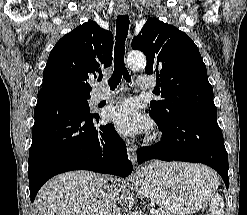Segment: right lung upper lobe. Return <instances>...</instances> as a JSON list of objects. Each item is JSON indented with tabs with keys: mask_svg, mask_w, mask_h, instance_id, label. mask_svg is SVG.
Listing matches in <instances>:
<instances>
[{
	"mask_svg": "<svg viewBox=\"0 0 247 215\" xmlns=\"http://www.w3.org/2000/svg\"><path fill=\"white\" fill-rule=\"evenodd\" d=\"M113 35L89 21L63 36L51 50L42 89L63 88L90 95L89 78L112 63Z\"/></svg>",
	"mask_w": 247,
	"mask_h": 215,
	"instance_id": "1",
	"label": "right lung upper lobe"
}]
</instances>
